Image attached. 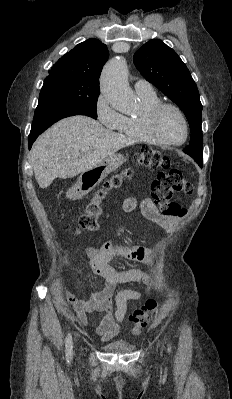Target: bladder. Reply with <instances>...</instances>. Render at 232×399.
<instances>
[{
	"mask_svg": "<svg viewBox=\"0 0 232 399\" xmlns=\"http://www.w3.org/2000/svg\"><path fill=\"white\" fill-rule=\"evenodd\" d=\"M102 349L111 353H126L130 352L133 348L124 342L114 341L103 345Z\"/></svg>",
	"mask_w": 232,
	"mask_h": 399,
	"instance_id": "bladder-1",
	"label": "bladder"
}]
</instances>
